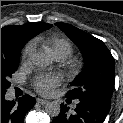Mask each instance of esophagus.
Here are the masks:
<instances>
[{
	"label": "esophagus",
	"mask_w": 123,
	"mask_h": 123,
	"mask_svg": "<svg viewBox=\"0 0 123 123\" xmlns=\"http://www.w3.org/2000/svg\"><path fill=\"white\" fill-rule=\"evenodd\" d=\"M37 102H38L39 104H41V105H45V104H47V103H48V101H47V100L40 99V98H38V99H37Z\"/></svg>",
	"instance_id": "1"
}]
</instances>
